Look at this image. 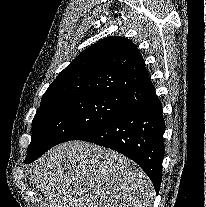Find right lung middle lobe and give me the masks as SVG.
I'll return each instance as SVG.
<instances>
[{
    "label": "right lung middle lobe",
    "instance_id": "dd1d6c3e",
    "mask_svg": "<svg viewBox=\"0 0 206 207\" xmlns=\"http://www.w3.org/2000/svg\"><path fill=\"white\" fill-rule=\"evenodd\" d=\"M126 95H85L41 103L32 124L27 158L51 147L76 140L115 116L126 104Z\"/></svg>",
    "mask_w": 206,
    "mask_h": 207
}]
</instances>
